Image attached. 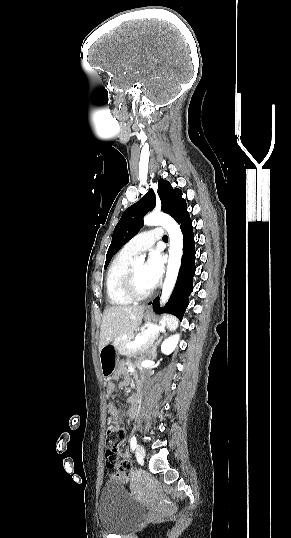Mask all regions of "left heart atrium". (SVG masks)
Wrapping results in <instances>:
<instances>
[{"label":"left heart atrium","mask_w":291,"mask_h":538,"mask_svg":"<svg viewBox=\"0 0 291 538\" xmlns=\"http://www.w3.org/2000/svg\"><path fill=\"white\" fill-rule=\"evenodd\" d=\"M145 277L149 285L153 288L160 281L164 271V261L161 254L157 251H151L145 264Z\"/></svg>","instance_id":"left-heart-atrium-1"}]
</instances>
